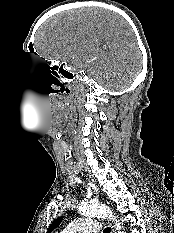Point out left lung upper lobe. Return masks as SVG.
<instances>
[{
    "label": "left lung upper lobe",
    "mask_w": 174,
    "mask_h": 233,
    "mask_svg": "<svg viewBox=\"0 0 174 233\" xmlns=\"http://www.w3.org/2000/svg\"><path fill=\"white\" fill-rule=\"evenodd\" d=\"M62 220L63 217H59L56 220H54L48 229V233H51L62 222Z\"/></svg>",
    "instance_id": "obj_1"
}]
</instances>
